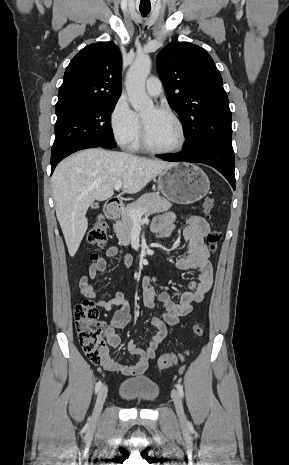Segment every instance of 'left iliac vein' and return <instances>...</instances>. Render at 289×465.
Listing matches in <instances>:
<instances>
[{
    "instance_id": "left-iliac-vein-1",
    "label": "left iliac vein",
    "mask_w": 289,
    "mask_h": 465,
    "mask_svg": "<svg viewBox=\"0 0 289 465\" xmlns=\"http://www.w3.org/2000/svg\"><path fill=\"white\" fill-rule=\"evenodd\" d=\"M171 397H172V400L174 402V405H175V409H176V412H177V415L179 417V420L181 422H185L186 418H185V414H184V409H183V404H182V400H181V396L180 394L178 393L177 390H172L171 392Z\"/></svg>"
}]
</instances>
